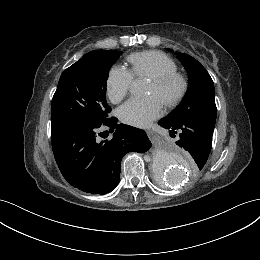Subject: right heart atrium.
<instances>
[{
  "label": "right heart atrium",
  "mask_w": 260,
  "mask_h": 260,
  "mask_svg": "<svg viewBox=\"0 0 260 260\" xmlns=\"http://www.w3.org/2000/svg\"><path fill=\"white\" fill-rule=\"evenodd\" d=\"M133 82V76L129 70L114 65L107 77L106 92L113 103L120 102L129 92Z\"/></svg>",
  "instance_id": "obj_1"
}]
</instances>
